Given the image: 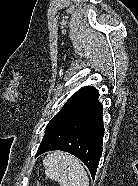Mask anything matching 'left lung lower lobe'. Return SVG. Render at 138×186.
<instances>
[{"instance_id": "1", "label": "left lung lower lobe", "mask_w": 138, "mask_h": 186, "mask_svg": "<svg viewBox=\"0 0 138 186\" xmlns=\"http://www.w3.org/2000/svg\"><path fill=\"white\" fill-rule=\"evenodd\" d=\"M98 97L94 90L50 126L36 156L52 150L66 151L84 162L94 179L104 136L102 103Z\"/></svg>"}]
</instances>
